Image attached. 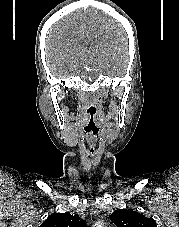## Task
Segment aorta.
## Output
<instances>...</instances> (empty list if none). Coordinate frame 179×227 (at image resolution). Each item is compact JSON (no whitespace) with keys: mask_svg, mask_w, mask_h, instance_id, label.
I'll list each match as a JSON object with an SVG mask.
<instances>
[{"mask_svg":"<svg viewBox=\"0 0 179 227\" xmlns=\"http://www.w3.org/2000/svg\"><path fill=\"white\" fill-rule=\"evenodd\" d=\"M94 227H102L101 224H96Z\"/></svg>","mask_w":179,"mask_h":227,"instance_id":"obj_1","label":"aorta"}]
</instances>
